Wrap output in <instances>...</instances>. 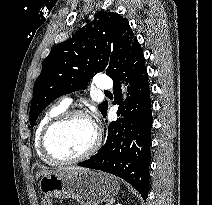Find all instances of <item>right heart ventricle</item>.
I'll list each match as a JSON object with an SVG mask.
<instances>
[{
    "mask_svg": "<svg viewBox=\"0 0 212 205\" xmlns=\"http://www.w3.org/2000/svg\"><path fill=\"white\" fill-rule=\"evenodd\" d=\"M67 108L66 105L62 104V103H58L52 107H50L42 116L36 131H35V136H34V147L35 150L37 152V154L39 155V157L45 161L46 163L49 164H54L53 161H51L49 158H47L45 156V154L43 153L42 149H41V144H40V140H41V135L42 132L44 130V128L46 127V125L57 115H59L60 113H62L63 111H65Z\"/></svg>",
    "mask_w": 212,
    "mask_h": 205,
    "instance_id": "e07e8e85",
    "label": "right heart ventricle"
}]
</instances>
